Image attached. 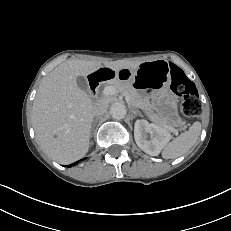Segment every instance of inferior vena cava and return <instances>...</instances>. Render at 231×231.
<instances>
[{"label": "inferior vena cava", "instance_id": "1", "mask_svg": "<svg viewBox=\"0 0 231 231\" xmlns=\"http://www.w3.org/2000/svg\"><path fill=\"white\" fill-rule=\"evenodd\" d=\"M108 105L102 101L99 100L96 103H94L93 106V115L94 116H102L106 113Z\"/></svg>", "mask_w": 231, "mask_h": 231}]
</instances>
